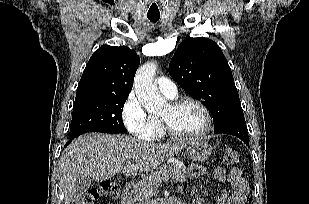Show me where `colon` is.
<instances>
[{"label": "colon", "instance_id": "5ec220e1", "mask_svg": "<svg viewBox=\"0 0 309 204\" xmlns=\"http://www.w3.org/2000/svg\"><path fill=\"white\" fill-rule=\"evenodd\" d=\"M224 162L227 165H238L241 157L235 147L229 146L224 152ZM120 186L113 181H105L98 188L90 189L83 193L75 204H95L100 196L116 199L120 195Z\"/></svg>", "mask_w": 309, "mask_h": 204}]
</instances>
